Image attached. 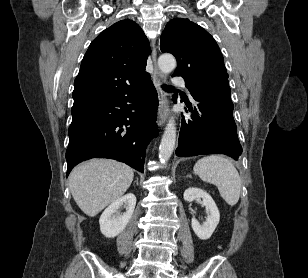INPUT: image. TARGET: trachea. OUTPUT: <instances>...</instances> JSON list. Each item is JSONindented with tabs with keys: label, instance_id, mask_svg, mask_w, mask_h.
<instances>
[{
	"label": "trachea",
	"instance_id": "trachea-1",
	"mask_svg": "<svg viewBox=\"0 0 308 278\" xmlns=\"http://www.w3.org/2000/svg\"><path fill=\"white\" fill-rule=\"evenodd\" d=\"M162 88L164 90H173L174 89L172 86H168V85H163Z\"/></svg>",
	"mask_w": 308,
	"mask_h": 278
}]
</instances>
